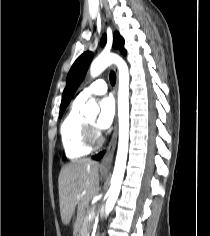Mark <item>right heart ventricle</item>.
Here are the masks:
<instances>
[{
  "instance_id": "obj_1",
  "label": "right heart ventricle",
  "mask_w": 210,
  "mask_h": 236,
  "mask_svg": "<svg viewBox=\"0 0 210 236\" xmlns=\"http://www.w3.org/2000/svg\"><path fill=\"white\" fill-rule=\"evenodd\" d=\"M82 105L83 102L76 99L61 125L62 147L70 160L79 159L91 151L84 141L85 119L80 112Z\"/></svg>"
}]
</instances>
